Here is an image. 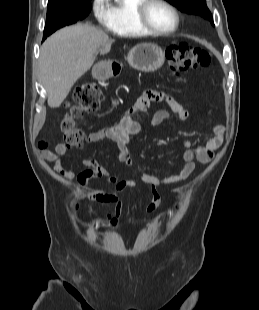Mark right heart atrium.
I'll list each match as a JSON object with an SVG mask.
<instances>
[{
    "label": "right heart atrium",
    "mask_w": 259,
    "mask_h": 310,
    "mask_svg": "<svg viewBox=\"0 0 259 310\" xmlns=\"http://www.w3.org/2000/svg\"><path fill=\"white\" fill-rule=\"evenodd\" d=\"M91 11L99 24L106 25L110 17L109 0H91Z\"/></svg>",
    "instance_id": "right-heart-atrium-1"
}]
</instances>
